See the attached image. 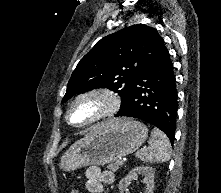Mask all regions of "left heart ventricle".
I'll list each match as a JSON object with an SVG mask.
<instances>
[{
    "label": "left heart ventricle",
    "instance_id": "b2bd125f",
    "mask_svg": "<svg viewBox=\"0 0 221 193\" xmlns=\"http://www.w3.org/2000/svg\"><path fill=\"white\" fill-rule=\"evenodd\" d=\"M93 111V103H81L75 108L72 119L75 122H81L85 120Z\"/></svg>",
    "mask_w": 221,
    "mask_h": 193
}]
</instances>
